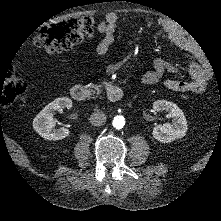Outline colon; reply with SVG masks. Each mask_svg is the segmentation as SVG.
<instances>
[{"label": "colon", "instance_id": "5ec220e1", "mask_svg": "<svg viewBox=\"0 0 221 221\" xmlns=\"http://www.w3.org/2000/svg\"><path fill=\"white\" fill-rule=\"evenodd\" d=\"M94 21L90 17L70 19L44 26L35 44L50 54L67 51L93 36ZM26 81L15 73L0 78V105L9 106L27 92Z\"/></svg>", "mask_w": 221, "mask_h": 221}]
</instances>
